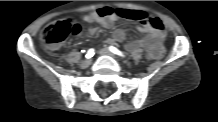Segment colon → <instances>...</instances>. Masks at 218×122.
Here are the masks:
<instances>
[{
    "instance_id": "1",
    "label": "colon",
    "mask_w": 218,
    "mask_h": 122,
    "mask_svg": "<svg viewBox=\"0 0 218 122\" xmlns=\"http://www.w3.org/2000/svg\"><path fill=\"white\" fill-rule=\"evenodd\" d=\"M117 13L121 18L139 21L142 24H149L155 28L163 27L162 22L149 14L136 11L117 9ZM81 31L80 24L74 22L69 17L60 18L48 24L41 33L42 42L49 49H56L70 34H78ZM167 55V50L164 46H159L158 50L154 52V60L156 62H162Z\"/></svg>"
}]
</instances>
